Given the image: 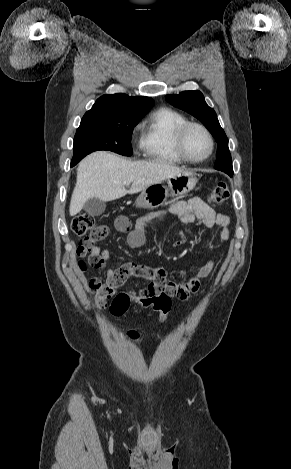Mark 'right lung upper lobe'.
I'll return each instance as SVG.
<instances>
[{"instance_id":"obj_1","label":"right lung upper lobe","mask_w":291,"mask_h":469,"mask_svg":"<svg viewBox=\"0 0 291 469\" xmlns=\"http://www.w3.org/2000/svg\"><path fill=\"white\" fill-rule=\"evenodd\" d=\"M149 97H130L123 93L103 95L84 116L98 118H142L153 106Z\"/></svg>"}]
</instances>
